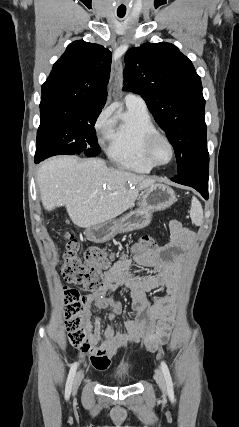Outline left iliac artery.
<instances>
[{
	"label": "left iliac artery",
	"instance_id": "left-iliac-artery-1",
	"mask_svg": "<svg viewBox=\"0 0 239 427\" xmlns=\"http://www.w3.org/2000/svg\"><path fill=\"white\" fill-rule=\"evenodd\" d=\"M161 370H162L163 375L165 377V381H166V385H167V392H168L169 398L171 400H174L173 382H172V379H171L169 368H168L167 364L164 361L161 362Z\"/></svg>",
	"mask_w": 239,
	"mask_h": 427
}]
</instances>
